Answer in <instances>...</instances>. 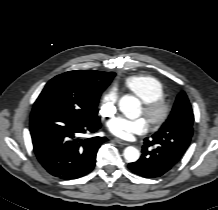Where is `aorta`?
Segmentation results:
<instances>
[{
	"label": "aorta",
	"instance_id": "762f6f07",
	"mask_svg": "<svg viewBox=\"0 0 218 210\" xmlns=\"http://www.w3.org/2000/svg\"><path fill=\"white\" fill-rule=\"evenodd\" d=\"M120 111L129 119H135L140 116V101L134 96L125 95L119 100ZM124 158L128 162H135L140 157V152L133 146H128L124 150Z\"/></svg>",
	"mask_w": 218,
	"mask_h": 210
}]
</instances>
